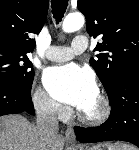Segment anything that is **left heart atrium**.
I'll list each match as a JSON object with an SVG mask.
<instances>
[{
	"mask_svg": "<svg viewBox=\"0 0 139 150\" xmlns=\"http://www.w3.org/2000/svg\"><path fill=\"white\" fill-rule=\"evenodd\" d=\"M44 85L53 98L79 110L98 96L93 74L75 64L48 69L44 75Z\"/></svg>",
	"mask_w": 139,
	"mask_h": 150,
	"instance_id": "1",
	"label": "left heart atrium"
}]
</instances>
